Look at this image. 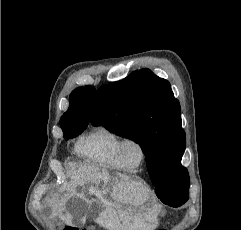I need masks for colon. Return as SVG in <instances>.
<instances>
[{
    "instance_id": "5ec220e1",
    "label": "colon",
    "mask_w": 241,
    "mask_h": 230,
    "mask_svg": "<svg viewBox=\"0 0 241 230\" xmlns=\"http://www.w3.org/2000/svg\"><path fill=\"white\" fill-rule=\"evenodd\" d=\"M64 230H78L76 228H73V227H66L64 228ZM82 230H90L89 228H83ZM161 230H165V229H161Z\"/></svg>"
}]
</instances>
